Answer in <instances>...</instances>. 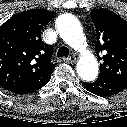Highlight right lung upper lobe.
<instances>
[{
  "mask_svg": "<svg viewBox=\"0 0 127 127\" xmlns=\"http://www.w3.org/2000/svg\"><path fill=\"white\" fill-rule=\"evenodd\" d=\"M48 10L18 13L0 27V86L33 87L45 83L54 71L53 47L42 42L41 29L52 19Z\"/></svg>",
  "mask_w": 127,
  "mask_h": 127,
  "instance_id": "1",
  "label": "right lung upper lobe"
}]
</instances>
